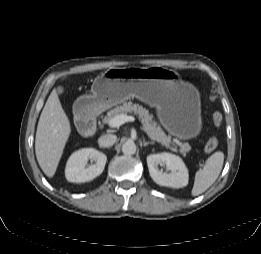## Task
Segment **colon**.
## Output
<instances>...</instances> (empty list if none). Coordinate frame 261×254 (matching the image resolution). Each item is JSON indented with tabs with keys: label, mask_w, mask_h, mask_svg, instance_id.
Masks as SVG:
<instances>
[{
	"label": "colon",
	"mask_w": 261,
	"mask_h": 254,
	"mask_svg": "<svg viewBox=\"0 0 261 254\" xmlns=\"http://www.w3.org/2000/svg\"><path fill=\"white\" fill-rule=\"evenodd\" d=\"M223 120H224V117H223L222 113L214 112L212 114V121L215 126L220 127L223 123ZM217 145H218L217 136H215V135L211 136L205 145V148H204L205 153H211L212 151L215 150Z\"/></svg>",
	"instance_id": "1"
}]
</instances>
